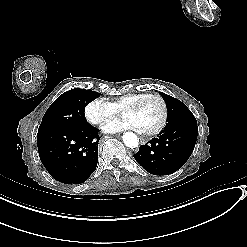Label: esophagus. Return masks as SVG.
<instances>
[{"label": "esophagus", "mask_w": 247, "mask_h": 247, "mask_svg": "<svg viewBox=\"0 0 247 247\" xmlns=\"http://www.w3.org/2000/svg\"><path fill=\"white\" fill-rule=\"evenodd\" d=\"M139 139L142 145L146 144V140L143 137H139Z\"/></svg>", "instance_id": "obj_1"}]
</instances>
